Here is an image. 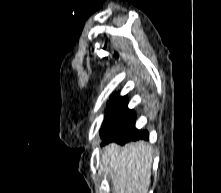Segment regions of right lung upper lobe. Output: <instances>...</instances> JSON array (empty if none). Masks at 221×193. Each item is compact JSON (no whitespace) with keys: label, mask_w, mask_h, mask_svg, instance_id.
<instances>
[{"label":"right lung upper lobe","mask_w":221,"mask_h":193,"mask_svg":"<svg viewBox=\"0 0 221 193\" xmlns=\"http://www.w3.org/2000/svg\"><path fill=\"white\" fill-rule=\"evenodd\" d=\"M122 103H127V98L126 97H120L118 93H115L111 97L110 101L108 102V106L112 107V106L119 105V104H122Z\"/></svg>","instance_id":"cb5924a9"}]
</instances>
